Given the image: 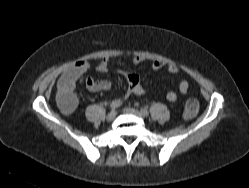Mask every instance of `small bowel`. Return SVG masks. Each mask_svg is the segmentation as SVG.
Segmentation results:
<instances>
[{
	"mask_svg": "<svg viewBox=\"0 0 249 188\" xmlns=\"http://www.w3.org/2000/svg\"><path fill=\"white\" fill-rule=\"evenodd\" d=\"M143 62V58L138 55L132 57V63L139 65ZM110 61L108 58H104L96 67V70L100 73H105L109 70ZM166 68L167 71L171 74L177 75L179 73V68L173 64H166L163 61L155 60L152 63V69L154 71L161 70ZM89 69V63L87 61H78L74 65L70 66L59 78L57 88L58 90L70 91L73 94V91L83 74H85ZM118 72L123 75L128 83L127 90L125 92L124 98L127 99L132 95L142 96L145 94V90L140 84V78L136 73L129 72L122 67H119ZM86 86L90 91L99 92L107 91L111 88V82L109 80H95L88 77L86 79ZM180 93L186 94L189 90V84L185 79H181L178 85ZM77 100V99H76ZM167 100L170 102L177 101V93L175 90L171 89L167 93ZM77 105V104H76Z\"/></svg>",
	"mask_w": 249,
	"mask_h": 188,
	"instance_id": "1",
	"label": "small bowel"
}]
</instances>
